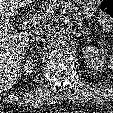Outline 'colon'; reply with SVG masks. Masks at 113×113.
Returning <instances> with one entry per match:
<instances>
[{
  "instance_id": "colon-1",
  "label": "colon",
  "mask_w": 113,
  "mask_h": 113,
  "mask_svg": "<svg viewBox=\"0 0 113 113\" xmlns=\"http://www.w3.org/2000/svg\"><path fill=\"white\" fill-rule=\"evenodd\" d=\"M99 12L108 23L113 22V0H102L99 4Z\"/></svg>"
}]
</instances>
